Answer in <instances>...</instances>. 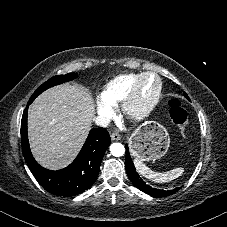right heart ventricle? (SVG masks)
Masks as SVG:
<instances>
[{
    "label": "right heart ventricle",
    "instance_id": "1",
    "mask_svg": "<svg viewBox=\"0 0 227 227\" xmlns=\"http://www.w3.org/2000/svg\"><path fill=\"white\" fill-rule=\"evenodd\" d=\"M139 76L140 73H125L108 81L99 92L101 102L110 106L122 102Z\"/></svg>",
    "mask_w": 227,
    "mask_h": 227
}]
</instances>
